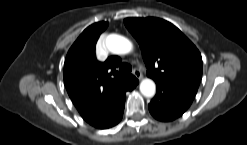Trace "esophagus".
I'll list each match as a JSON object with an SVG mask.
<instances>
[{
	"instance_id": "obj_1",
	"label": "esophagus",
	"mask_w": 247,
	"mask_h": 145,
	"mask_svg": "<svg viewBox=\"0 0 247 145\" xmlns=\"http://www.w3.org/2000/svg\"><path fill=\"white\" fill-rule=\"evenodd\" d=\"M133 74L138 78L139 80L142 79V73L139 69H134Z\"/></svg>"
}]
</instances>
